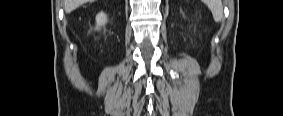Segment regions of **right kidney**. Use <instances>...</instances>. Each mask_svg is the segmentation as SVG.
Returning a JSON list of instances; mask_svg holds the SVG:
<instances>
[{
	"instance_id": "right-kidney-1",
	"label": "right kidney",
	"mask_w": 283,
	"mask_h": 116,
	"mask_svg": "<svg viewBox=\"0 0 283 116\" xmlns=\"http://www.w3.org/2000/svg\"><path fill=\"white\" fill-rule=\"evenodd\" d=\"M107 22V16L104 12H100L97 16H96V29H100L101 26L105 25V23Z\"/></svg>"
}]
</instances>
